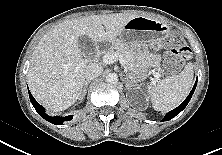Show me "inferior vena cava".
<instances>
[{
	"label": "inferior vena cava",
	"instance_id": "obj_1",
	"mask_svg": "<svg viewBox=\"0 0 222 155\" xmlns=\"http://www.w3.org/2000/svg\"><path fill=\"white\" fill-rule=\"evenodd\" d=\"M103 72V68L101 65L96 63H91L87 66L85 70V79L91 80L96 77H99Z\"/></svg>",
	"mask_w": 222,
	"mask_h": 155
}]
</instances>
